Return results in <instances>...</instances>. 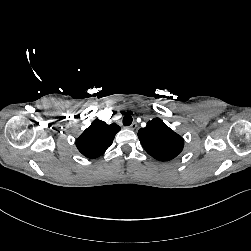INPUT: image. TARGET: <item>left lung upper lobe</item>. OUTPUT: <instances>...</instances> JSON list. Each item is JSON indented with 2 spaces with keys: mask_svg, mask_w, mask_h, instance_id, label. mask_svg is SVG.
Returning a JSON list of instances; mask_svg holds the SVG:
<instances>
[{
  "mask_svg": "<svg viewBox=\"0 0 251 251\" xmlns=\"http://www.w3.org/2000/svg\"><path fill=\"white\" fill-rule=\"evenodd\" d=\"M138 137L145 151L153 158L168 161L183 149V138L170 129L161 119L154 118L139 129Z\"/></svg>",
  "mask_w": 251,
  "mask_h": 251,
  "instance_id": "left-lung-upper-lobe-1",
  "label": "left lung upper lobe"
}]
</instances>
